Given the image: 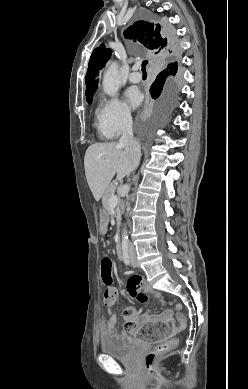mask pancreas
<instances>
[{
    "instance_id": "obj_1",
    "label": "pancreas",
    "mask_w": 248,
    "mask_h": 389,
    "mask_svg": "<svg viewBox=\"0 0 248 389\" xmlns=\"http://www.w3.org/2000/svg\"><path fill=\"white\" fill-rule=\"evenodd\" d=\"M115 190H116L115 184L111 183L105 191V194H104L103 200H102V204H103V208H104L103 213L105 215L107 214V211L109 210V207H110L109 201H110L111 197L114 195Z\"/></svg>"
}]
</instances>
